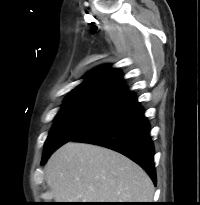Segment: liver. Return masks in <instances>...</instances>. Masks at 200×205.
Instances as JSON below:
<instances>
[{
	"label": "liver",
	"instance_id": "1",
	"mask_svg": "<svg viewBox=\"0 0 200 205\" xmlns=\"http://www.w3.org/2000/svg\"><path fill=\"white\" fill-rule=\"evenodd\" d=\"M57 202H151L154 185L127 157L104 147L69 142L45 166Z\"/></svg>",
	"mask_w": 200,
	"mask_h": 205
}]
</instances>
